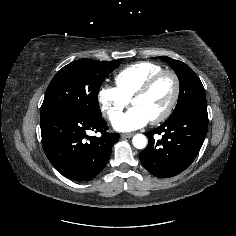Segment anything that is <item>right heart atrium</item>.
Instances as JSON below:
<instances>
[{
  "mask_svg": "<svg viewBox=\"0 0 236 236\" xmlns=\"http://www.w3.org/2000/svg\"><path fill=\"white\" fill-rule=\"evenodd\" d=\"M97 100L103 115L108 119H113L129 102L116 87L110 85L99 88Z\"/></svg>",
  "mask_w": 236,
  "mask_h": 236,
  "instance_id": "obj_1",
  "label": "right heart atrium"
}]
</instances>
